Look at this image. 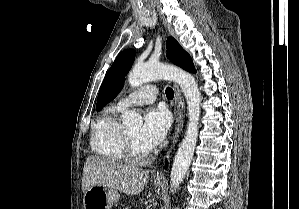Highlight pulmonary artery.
Instances as JSON below:
<instances>
[{"instance_id": "e3ab8cb5", "label": "pulmonary artery", "mask_w": 299, "mask_h": 209, "mask_svg": "<svg viewBox=\"0 0 299 209\" xmlns=\"http://www.w3.org/2000/svg\"><path fill=\"white\" fill-rule=\"evenodd\" d=\"M158 96V89L155 85L149 84L137 88L120 98L117 106L121 109H127L132 106L145 105L153 103Z\"/></svg>"}]
</instances>
